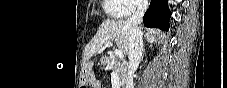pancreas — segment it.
<instances>
[{"mask_svg": "<svg viewBox=\"0 0 227 88\" xmlns=\"http://www.w3.org/2000/svg\"><path fill=\"white\" fill-rule=\"evenodd\" d=\"M107 66L115 71L120 80H121V83L122 85H124L125 83V80H126V76H127V67L124 63L120 62L117 58L115 57H109L108 58V62H107Z\"/></svg>", "mask_w": 227, "mask_h": 88, "instance_id": "cf45deb5", "label": "pancreas"}]
</instances>
